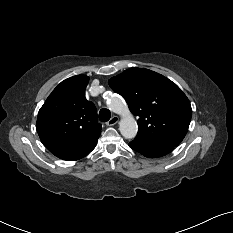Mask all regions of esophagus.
<instances>
[{
	"label": "esophagus",
	"instance_id": "1",
	"mask_svg": "<svg viewBox=\"0 0 233 233\" xmlns=\"http://www.w3.org/2000/svg\"><path fill=\"white\" fill-rule=\"evenodd\" d=\"M119 122V117L118 116H112L110 120L106 123L108 126H114Z\"/></svg>",
	"mask_w": 233,
	"mask_h": 233
}]
</instances>
